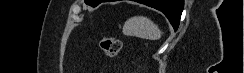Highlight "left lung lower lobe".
<instances>
[{
  "label": "left lung lower lobe",
  "mask_w": 244,
  "mask_h": 73,
  "mask_svg": "<svg viewBox=\"0 0 244 73\" xmlns=\"http://www.w3.org/2000/svg\"><path fill=\"white\" fill-rule=\"evenodd\" d=\"M110 0H101V2ZM136 2L153 7L165 14L175 30L178 29L184 0H135Z\"/></svg>",
  "instance_id": "obj_1"
}]
</instances>
